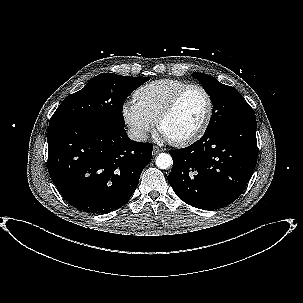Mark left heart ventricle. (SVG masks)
Instances as JSON below:
<instances>
[{"label":"left heart ventricle","instance_id":"left-heart-ventricle-1","mask_svg":"<svg viewBox=\"0 0 303 303\" xmlns=\"http://www.w3.org/2000/svg\"><path fill=\"white\" fill-rule=\"evenodd\" d=\"M207 111V101L200 90L188 91L175 111L164 121L162 133L169 139H181L195 132Z\"/></svg>","mask_w":303,"mask_h":303}]
</instances>
